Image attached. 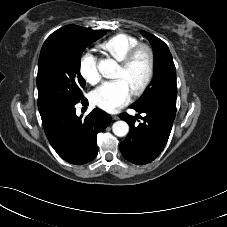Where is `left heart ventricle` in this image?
I'll return each instance as SVG.
<instances>
[{
  "label": "left heart ventricle",
  "mask_w": 227,
  "mask_h": 227,
  "mask_svg": "<svg viewBox=\"0 0 227 227\" xmlns=\"http://www.w3.org/2000/svg\"><path fill=\"white\" fill-rule=\"evenodd\" d=\"M147 73V60L144 54H141L134 64L127 70L118 68L115 74L116 79L123 80L129 89L133 91L143 81Z\"/></svg>",
  "instance_id": "b2bd125f"
}]
</instances>
